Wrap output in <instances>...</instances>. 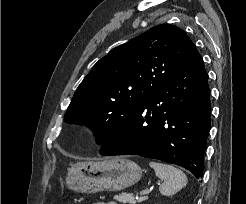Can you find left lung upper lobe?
I'll return each instance as SVG.
<instances>
[{
  "instance_id": "1",
  "label": "left lung upper lobe",
  "mask_w": 246,
  "mask_h": 204,
  "mask_svg": "<svg viewBox=\"0 0 246 204\" xmlns=\"http://www.w3.org/2000/svg\"><path fill=\"white\" fill-rule=\"evenodd\" d=\"M195 52L182 29L171 24L151 28L93 66L78 86L64 121L93 128L103 144Z\"/></svg>"
}]
</instances>
